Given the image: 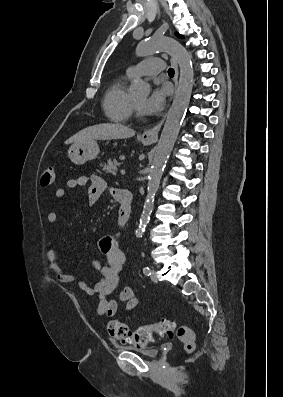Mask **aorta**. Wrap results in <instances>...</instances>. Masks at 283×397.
Returning <instances> with one entry per match:
<instances>
[{
	"mask_svg": "<svg viewBox=\"0 0 283 397\" xmlns=\"http://www.w3.org/2000/svg\"><path fill=\"white\" fill-rule=\"evenodd\" d=\"M155 51L168 52L176 59L180 68V77L176 96L167 115L152 161L148 178L147 196L139 219L138 228L135 231L137 237H142L149 222L155 194L159 188L164 167L174 147L180 125L187 111L194 83L191 56L182 44L167 37H152L150 40L141 42L137 46L136 54L139 57H146ZM131 90L136 95H147L150 91V86L142 80H137L131 85Z\"/></svg>",
	"mask_w": 283,
	"mask_h": 397,
	"instance_id": "762f6f07",
	"label": "aorta"
}]
</instances>
